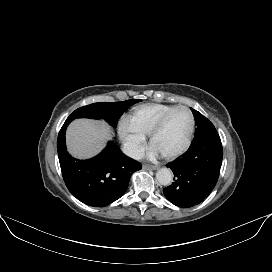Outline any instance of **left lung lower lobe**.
I'll return each instance as SVG.
<instances>
[{"label":"left lung lower lobe","mask_w":272,"mask_h":272,"mask_svg":"<svg viewBox=\"0 0 272 272\" xmlns=\"http://www.w3.org/2000/svg\"><path fill=\"white\" fill-rule=\"evenodd\" d=\"M222 157L223 149L217 132L192 142L181 158L168 165L175 174V181L163 189L165 197L182 208L202 202L217 183Z\"/></svg>","instance_id":"obj_1"}]
</instances>
